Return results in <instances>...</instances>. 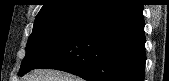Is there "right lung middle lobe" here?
Wrapping results in <instances>:
<instances>
[{
	"instance_id": "right-lung-middle-lobe-1",
	"label": "right lung middle lobe",
	"mask_w": 169,
	"mask_h": 81,
	"mask_svg": "<svg viewBox=\"0 0 169 81\" xmlns=\"http://www.w3.org/2000/svg\"><path fill=\"white\" fill-rule=\"evenodd\" d=\"M87 20L72 15L35 20L32 34L28 39L26 56L19 70L20 76L37 68L55 53Z\"/></svg>"
}]
</instances>
